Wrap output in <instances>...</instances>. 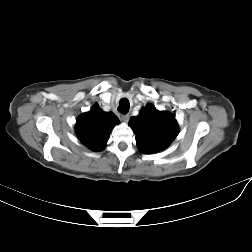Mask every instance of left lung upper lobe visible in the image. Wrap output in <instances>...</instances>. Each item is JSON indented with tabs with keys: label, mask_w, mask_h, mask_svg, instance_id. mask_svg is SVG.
Listing matches in <instances>:
<instances>
[{
	"label": "left lung upper lobe",
	"mask_w": 252,
	"mask_h": 252,
	"mask_svg": "<svg viewBox=\"0 0 252 252\" xmlns=\"http://www.w3.org/2000/svg\"><path fill=\"white\" fill-rule=\"evenodd\" d=\"M129 125L136 135L138 149L146 154L165 149L178 135L175 117L152 104L142 108L138 116L131 117Z\"/></svg>",
	"instance_id": "left-lung-upper-lobe-1"
}]
</instances>
